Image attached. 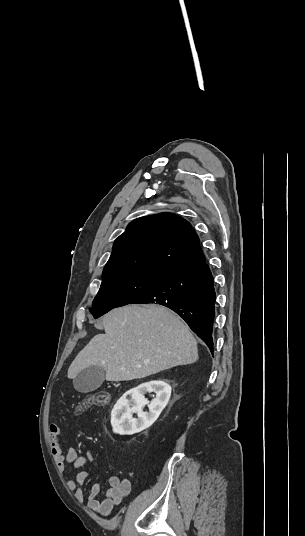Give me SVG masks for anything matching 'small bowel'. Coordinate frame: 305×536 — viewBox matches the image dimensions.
<instances>
[{
  "mask_svg": "<svg viewBox=\"0 0 305 536\" xmlns=\"http://www.w3.org/2000/svg\"><path fill=\"white\" fill-rule=\"evenodd\" d=\"M49 430L51 453L61 475L66 472L67 466L69 465L74 469H80L87 463H93L94 458L91 453L88 452L86 455H80L75 447H70L66 453H63L60 443V427L58 424H51ZM88 476V471L81 470L75 475L74 478H69L66 481L68 490L74 491L76 498L79 500L83 498V491L81 487L86 482ZM108 485L109 488L104 498H100L99 496L100 485L98 483L92 485L88 496L89 507L102 516H109L112 510L116 506L120 505L122 501L130 494L132 488L129 479L120 478L116 475L109 477Z\"/></svg>",
  "mask_w": 305,
  "mask_h": 536,
  "instance_id": "1",
  "label": "small bowel"
}]
</instances>
